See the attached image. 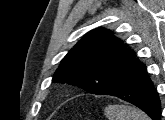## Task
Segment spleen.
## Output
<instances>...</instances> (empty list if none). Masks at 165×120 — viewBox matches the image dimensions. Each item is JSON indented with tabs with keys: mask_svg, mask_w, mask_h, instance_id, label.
I'll list each match as a JSON object with an SVG mask.
<instances>
[{
	"mask_svg": "<svg viewBox=\"0 0 165 120\" xmlns=\"http://www.w3.org/2000/svg\"><path fill=\"white\" fill-rule=\"evenodd\" d=\"M105 115L108 120H150L145 113L128 105H108Z\"/></svg>",
	"mask_w": 165,
	"mask_h": 120,
	"instance_id": "spleen-1",
	"label": "spleen"
}]
</instances>
